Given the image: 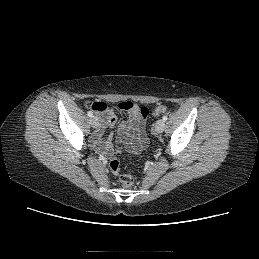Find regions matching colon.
Here are the masks:
<instances>
[{"mask_svg":"<svg viewBox=\"0 0 259 259\" xmlns=\"http://www.w3.org/2000/svg\"><path fill=\"white\" fill-rule=\"evenodd\" d=\"M118 107L121 109V110H125V109H130L133 107V103L132 102H122L118 105ZM91 108L93 110H103L105 108V103L103 102H94L91 104ZM141 114L144 116V117H147L148 113H149V110L147 108H141ZM168 111V108L166 106H158L156 107L154 110H153V114L156 115V116H159L163 113H166ZM116 149L118 151L122 150L123 149V145L122 144H117L116 146ZM110 168L112 170V172L118 174L119 171H120V165H119V161L117 159H112L111 162H110ZM120 183L123 187H130L132 186L133 182H134V179L133 177L130 175V174H122L120 175Z\"/></svg>","mask_w":259,"mask_h":259,"instance_id":"colon-1","label":"colon"}]
</instances>
